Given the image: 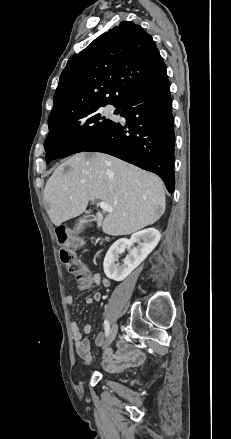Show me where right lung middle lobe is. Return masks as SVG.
<instances>
[{"mask_svg":"<svg viewBox=\"0 0 231 439\" xmlns=\"http://www.w3.org/2000/svg\"><path fill=\"white\" fill-rule=\"evenodd\" d=\"M102 107L87 108L48 121L49 135L44 144L47 163L84 151L116 125L104 116Z\"/></svg>","mask_w":231,"mask_h":439,"instance_id":"dd1d6c3e","label":"right lung middle lobe"}]
</instances>
